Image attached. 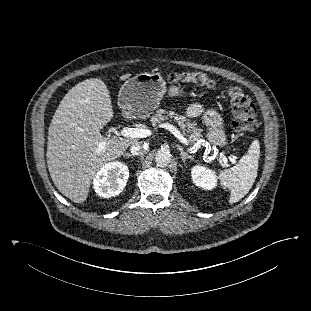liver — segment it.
Wrapping results in <instances>:
<instances>
[{
    "instance_id": "obj_1",
    "label": "liver",
    "mask_w": 311,
    "mask_h": 311,
    "mask_svg": "<svg viewBox=\"0 0 311 311\" xmlns=\"http://www.w3.org/2000/svg\"><path fill=\"white\" fill-rule=\"evenodd\" d=\"M130 76L124 74L120 80ZM113 116L110 92L98 78L72 87L55 111L48 129V170L57 189L75 203L86 200L96 172L105 163L139 143L130 137L102 136L100 130ZM102 142L105 147L100 150Z\"/></svg>"
}]
</instances>
